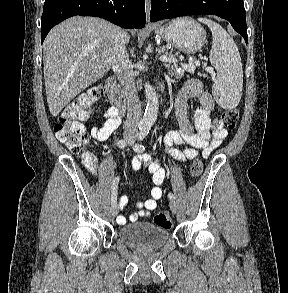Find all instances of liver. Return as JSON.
I'll list each match as a JSON object with an SVG mask.
<instances>
[{"mask_svg": "<svg viewBox=\"0 0 288 293\" xmlns=\"http://www.w3.org/2000/svg\"><path fill=\"white\" fill-rule=\"evenodd\" d=\"M119 30L104 19L81 16L71 17L51 29L43 44V59L52 116L56 117L73 98L109 71ZM129 40L125 32V43ZM92 55L97 57L92 59Z\"/></svg>", "mask_w": 288, "mask_h": 293, "instance_id": "obj_1", "label": "liver"}]
</instances>
